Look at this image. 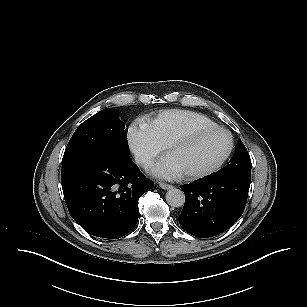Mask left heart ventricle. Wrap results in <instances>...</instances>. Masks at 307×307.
<instances>
[{
    "label": "left heart ventricle",
    "instance_id": "1",
    "mask_svg": "<svg viewBox=\"0 0 307 307\" xmlns=\"http://www.w3.org/2000/svg\"><path fill=\"white\" fill-rule=\"evenodd\" d=\"M230 146L228 135L213 132L201 136L186 147L171 151V158L181 174L205 170L218 163Z\"/></svg>",
    "mask_w": 307,
    "mask_h": 307
}]
</instances>
